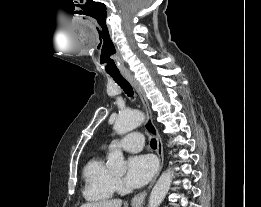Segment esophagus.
Here are the masks:
<instances>
[{"label": "esophagus", "mask_w": 261, "mask_h": 207, "mask_svg": "<svg viewBox=\"0 0 261 207\" xmlns=\"http://www.w3.org/2000/svg\"><path fill=\"white\" fill-rule=\"evenodd\" d=\"M124 77L129 81V83L135 88V90L139 94L140 99L143 103L145 112H146V121H145L146 129L155 137V139L157 141V155L159 157L160 166H159L158 173L156 174V176L154 177V179L152 180V182L150 183V185L148 187V190H150V188L155 183V181H156V179H157V177H158V175H159V173H160V171L163 167V163H164L163 143H162L161 137L158 133V130H157V128H156V126L153 122L150 105H149V102L146 98V95H145L141 85L128 74H124ZM148 190L140 192L137 195H135L133 197L132 201H131L132 205L133 206H139V205L143 204V202H144V200L147 196Z\"/></svg>", "instance_id": "esophagus-1"}]
</instances>
